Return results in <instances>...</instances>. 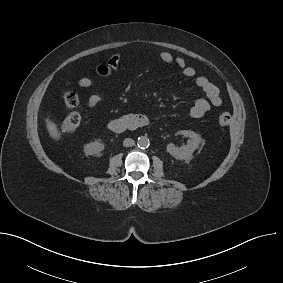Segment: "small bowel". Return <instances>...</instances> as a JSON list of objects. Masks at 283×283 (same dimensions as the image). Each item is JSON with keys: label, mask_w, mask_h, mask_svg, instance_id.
I'll return each mask as SVG.
<instances>
[{"label": "small bowel", "mask_w": 283, "mask_h": 283, "mask_svg": "<svg viewBox=\"0 0 283 283\" xmlns=\"http://www.w3.org/2000/svg\"><path fill=\"white\" fill-rule=\"evenodd\" d=\"M155 56L165 64L177 65L182 73L186 77H194L196 75L195 69L188 65L186 61L179 56H175L167 51H156ZM122 60V55L120 53L112 54L105 63L99 64L95 67V72L102 77H108L115 73L118 69ZM197 86L204 93V97H200L195 100L193 106L190 109V116L195 119L202 118L207 112L211 110L212 107H218L222 103L220 96V91L216 85H214L205 76H197L196 79ZM94 84V80L90 77H81L78 80V85L81 88H89ZM174 97H177L174 95ZM103 100V96L100 94H92L85 101L84 105L87 108L96 107Z\"/></svg>", "instance_id": "small-bowel-1"}]
</instances>
